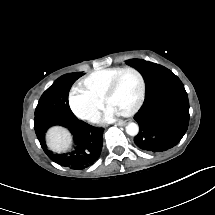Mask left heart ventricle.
<instances>
[{"instance_id":"b2bd125f","label":"left heart ventricle","mask_w":215,"mask_h":215,"mask_svg":"<svg viewBox=\"0 0 215 215\" xmlns=\"http://www.w3.org/2000/svg\"><path fill=\"white\" fill-rule=\"evenodd\" d=\"M136 80L130 74H123L117 91L110 95V102L116 107H128L133 100Z\"/></svg>"}]
</instances>
